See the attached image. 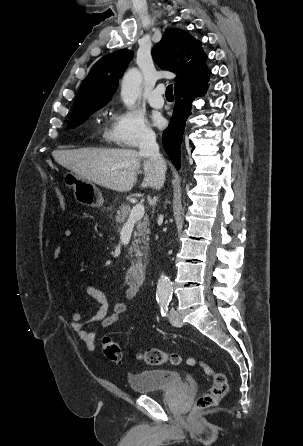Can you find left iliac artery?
<instances>
[{"mask_svg":"<svg viewBox=\"0 0 303 446\" xmlns=\"http://www.w3.org/2000/svg\"><path fill=\"white\" fill-rule=\"evenodd\" d=\"M169 301L170 300H160L159 304H160V310H161V314L162 316H167V312H168V307H169Z\"/></svg>","mask_w":303,"mask_h":446,"instance_id":"left-iliac-artery-1","label":"left iliac artery"}]
</instances>
